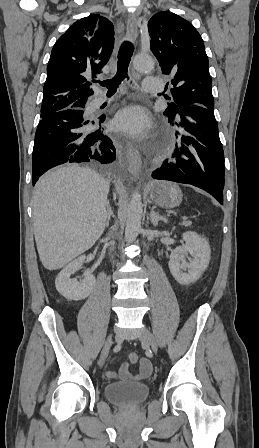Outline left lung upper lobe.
<instances>
[{
	"instance_id": "obj_1",
	"label": "left lung upper lobe",
	"mask_w": 259,
	"mask_h": 448,
	"mask_svg": "<svg viewBox=\"0 0 259 448\" xmlns=\"http://www.w3.org/2000/svg\"><path fill=\"white\" fill-rule=\"evenodd\" d=\"M151 50L163 74H173V102L164 114L175 117L191 105L214 109L212 79L204 42L187 20L171 12H158L148 22Z\"/></svg>"
}]
</instances>
